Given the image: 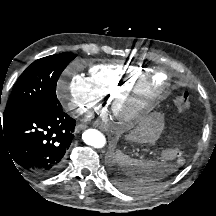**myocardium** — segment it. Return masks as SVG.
<instances>
[{
    "instance_id": "myocardium-1",
    "label": "myocardium",
    "mask_w": 216,
    "mask_h": 216,
    "mask_svg": "<svg viewBox=\"0 0 216 216\" xmlns=\"http://www.w3.org/2000/svg\"><path fill=\"white\" fill-rule=\"evenodd\" d=\"M164 76L162 84L156 83L157 76ZM169 87L168 76L161 71L154 70L148 76L137 81L125 93L127 97L119 100L122 94L115 97L113 108L120 115V118L127 126L134 125L147 111L150 106L161 96Z\"/></svg>"
}]
</instances>
